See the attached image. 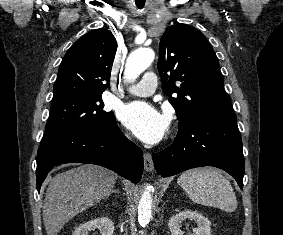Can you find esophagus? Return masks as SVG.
Listing matches in <instances>:
<instances>
[{
  "mask_svg": "<svg viewBox=\"0 0 283 235\" xmlns=\"http://www.w3.org/2000/svg\"><path fill=\"white\" fill-rule=\"evenodd\" d=\"M144 169L146 171L154 170L152 155L149 152L144 153Z\"/></svg>",
  "mask_w": 283,
  "mask_h": 235,
  "instance_id": "34e87169",
  "label": "esophagus"
}]
</instances>
